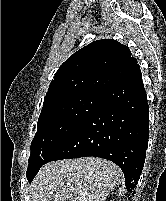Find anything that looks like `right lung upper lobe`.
<instances>
[{"mask_svg":"<svg viewBox=\"0 0 166 201\" xmlns=\"http://www.w3.org/2000/svg\"><path fill=\"white\" fill-rule=\"evenodd\" d=\"M137 65L127 46L114 39L94 41L59 67L45 96L42 112L70 98L88 94L104 96Z\"/></svg>","mask_w":166,"mask_h":201,"instance_id":"right-lung-upper-lobe-1","label":"right lung upper lobe"}]
</instances>
